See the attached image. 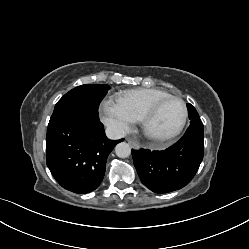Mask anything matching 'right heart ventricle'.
I'll use <instances>...</instances> for the list:
<instances>
[{"mask_svg":"<svg viewBox=\"0 0 249 249\" xmlns=\"http://www.w3.org/2000/svg\"><path fill=\"white\" fill-rule=\"evenodd\" d=\"M170 95V93L159 89H135L120 93L117 100L124 104L137 119H140L151 105Z\"/></svg>","mask_w":249,"mask_h":249,"instance_id":"right-heart-ventricle-1","label":"right heart ventricle"}]
</instances>
